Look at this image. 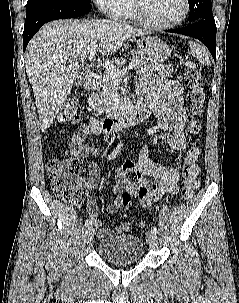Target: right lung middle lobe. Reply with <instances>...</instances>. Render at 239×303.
<instances>
[{
    "instance_id": "dd1d6c3e",
    "label": "right lung middle lobe",
    "mask_w": 239,
    "mask_h": 303,
    "mask_svg": "<svg viewBox=\"0 0 239 303\" xmlns=\"http://www.w3.org/2000/svg\"><path fill=\"white\" fill-rule=\"evenodd\" d=\"M91 0H28L26 10L41 4L57 3V4H90Z\"/></svg>"
}]
</instances>
